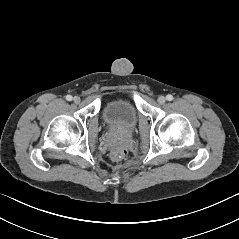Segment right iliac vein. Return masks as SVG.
Here are the masks:
<instances>
[{"label":"right iliac vein","mask_w":239,"mask_h":239,"mask_svg":"<svg viewBox=\"0 0 239 239\" xmlns=\"http://www.w3.org/2000/svg\"><path fill=\"white\" fill-rule=\"evenodd\" d=\"M73 101H74L75 103H79V102H80V97L75 96V97L73 98Z\"/></svg>","instance_id":"right-iliac-vein-1"}]
</instances>
